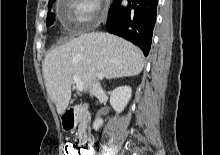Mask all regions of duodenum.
<instances>
[{"label":"duodenum","instance_id":"410a0bca","mask_svg":"<svg viewBox=\"0 0 220 155\" xmlns=\"http://www.w3.org/2000/svg\"><path fill=\"white\" fill-rule=\"evenodd\" d=\"M85 110L84 106H75L68 109L63 115V122L67 125L73 126L76 122L77 117ZM81 143L84 146L91 144V137L87 134L82 135Z\"/></svg>","mask_w":220,"mask_h":155}]
</instances>
